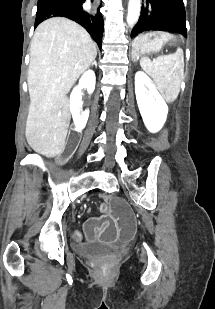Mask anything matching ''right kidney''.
Wrapping results in <instances>:
<instances>
[{"mask_svg":"<svg viewBox=\"0 0 215 309\" xmlns=\"http://www.w3.org/2000/svg\"><path fill=\"white\" fill-rule=\"evenodd\" d=\"M95 82L96 76L94 70H86V72L82 74L79 84L74 86L70 94V110L77 130H82V128H84L89 116V110H82L83 100L81 88H86L87 92L91 94L95 88ZM74 110L78 112L77 120L74 118Z\"/></svg>","mask_w":215,"mask_h":309,"instance_id":"obj_1","label":"right kidney"}]
</instances>
